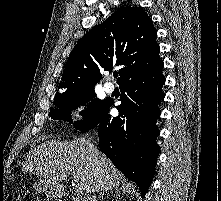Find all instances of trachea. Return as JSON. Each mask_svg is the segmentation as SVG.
Returning a JSON list of instances; mask_svg holds the SVG:
<instances>
[{
	"label": "trachea",
	"mask_w": 221,
	"mask_h": 201,
	"mask_svg": "<svg viewBox=\"0 0 221 201\" xmlns=\"http://www.w3.org/2000/svg\"><path fill=\"white\" fill-rule=\"evenodd\" d=\"M113 76H114V77H118V73H114Z\"/></svg>",
	"instance_id": "1"
}]
</instances>
